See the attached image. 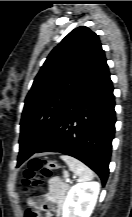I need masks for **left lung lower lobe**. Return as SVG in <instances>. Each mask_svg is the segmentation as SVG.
Returning a JSON list of instances; mask_svg holds the SVG:
<instances>
[{"label":"left lung lower lobe","mask_w":132,"mask_h":217,"mask_svg":"<svg viewBox=\"0 0 132 217\" xmlns=\"http://www.w3.org/2000/svg\"><path fill=\"white\" fill-rule=\"evenodd\" d=\"M114 107L113 86L105 61L33 152L28 153L22 139L19 140L17 167L35 153L60 152L85 163L104 185L115 131Z\"/></svg>","instance_id":"obj_1"}]
</instances>
